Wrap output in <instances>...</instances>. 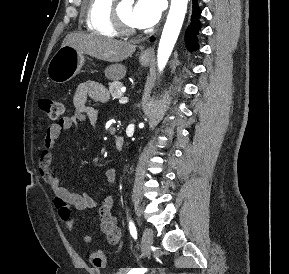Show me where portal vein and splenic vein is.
I'll return each instance as SVG.
<instances>
[{"label":"portal vein and splenic vein","mask_w":289,"mask_h":274,"mask_svg":"<svg viewBox=\"0 0 289 274\" xmlns=\"http://www.w3.org/2000/svg\"><path fill=\"white\" fill-rule=\"evenodd\" d=\"M127 102H128V98L127 97H124V96L120 97V99H119V103L120 104H125Z\"/></svg>","instance_id":"18ae733b"}]
</instances>
